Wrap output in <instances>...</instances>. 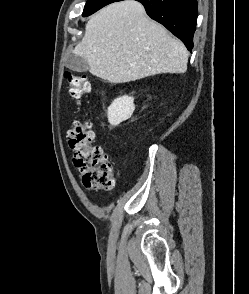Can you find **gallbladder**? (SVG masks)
Wrapping results in <instances>:
<instances>
[{"instance_id": "1", "label": "gallbladder", "mask_w": 249, "mask_h": 294, "mask_svg": "<svg viewBox=\"0 0 249 294\" xmlns=\"http://www.w3.org/2000/svg\"><path fill=\"white\" fill-rule=\"evenodd\" d=\"M65 66L74 72H86L89 70V64L87 60L74 53L67 57Z\"/></svg>"}]
</instances>
